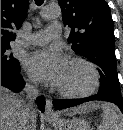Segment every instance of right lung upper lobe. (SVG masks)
I'll list each match as a JSON object with an SVG mask.
<instances>
[{
  "instance_id": "right-lung-upper-lobe-1",
  "label": "right lung upper lobe",
  "mask_w": 123,
  "mask_h": 130,
  "mask_svg": "<svg viewBox=\"0 0 123 130\" xmlns=\"http://www.w3.org/2000/svg\"><path fill=\"white\" fill-rule=\"evenodd\" d=\"M28 5L29 0H1V45L15 40L13 30L21 26Z\"/></svg>"
}]
</instances>
